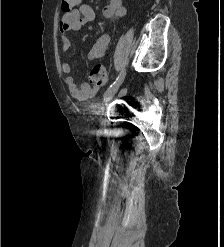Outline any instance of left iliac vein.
I'll return each mask as SVG.
<instances>
[{"label": "left iliac vein", "mask_w": 224, "mask_h": 247, "mask_svg": "<svg viewBox=\"0 0 224 247\" xmlns=\"http://www.w3.org/2000/svg\"><path fill=\"white\" fill-rule=\"evenodd\" d=\"M121 83L111 87V88H108L105 93H104V96H103V99H104V102H108L110 101L113 96L116 94V92L118 91L119 87H120Z\"/></svg>", "instance_id": "left-iliac-vein-1"}]
</instances>
